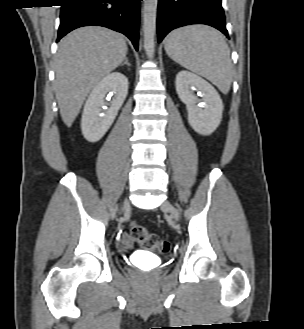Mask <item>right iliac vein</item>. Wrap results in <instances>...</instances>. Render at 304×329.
Returning <instances> with one entry per match:
<instances>
[{
    "label": "right iliac vein",
    "mask_w": 304,
    "mask_h": 329,
    "mask_svg": "<svg viewBox=\"0 0 304 329\" xmlns=\"http://www.w3.org/2000/svg\"><path fill=\"white\" fill-rule=\"evenodd\" d=\"M129 208H130V205H129L128 200L126 199V200L124 201V204H123V210H124V211H127V210H129Z\"/></svg>",
    "instance_id": "obj_1"
}]
</instances>
